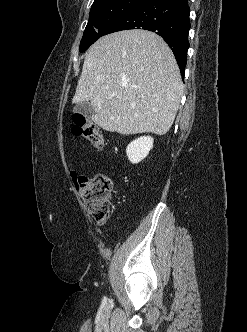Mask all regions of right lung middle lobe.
I'll use <instances>...</instances> for the list:
<instances>
[{
  "instance_id": "obj_1",
  "label": "right lung middle lobe",
  "mask_w": 247,
  "mask_h": 332,
  "mask_svg": "<svg viewBox=\"0 0 247 332\" xmlns=\"http://www.w3.org/2000/svg\"><path fill=\"white\" fill-rule=\"evenodd\" d=\"M147 0H99L92 4L89 21L85 28L80 52L88 49L117 19Z\"/></svg>"
}]
</instances>
